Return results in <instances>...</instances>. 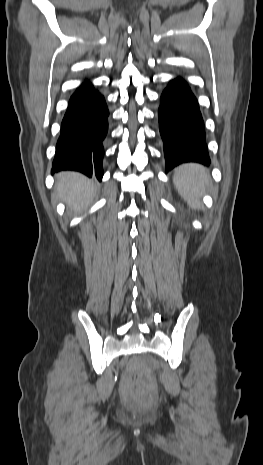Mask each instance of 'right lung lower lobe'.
<instances>
[{"mask_svg": "<svg viewBox=\"0 0 263 465\" xmlns=\"http://www.w3.org/2000/svg\"><path fill=\"white\" fill-rule=\"evenodd\" d=\"M108 115L104 97L89 82L82 84L70 98L63 118L52 172L75 170L101 181Z\"/></svg>", "mask_w": 263, "mask_h": 465, "instance_id": "right-lung-lower-lobe-1", "label": "right lung lower lobe"}]
</instances>
